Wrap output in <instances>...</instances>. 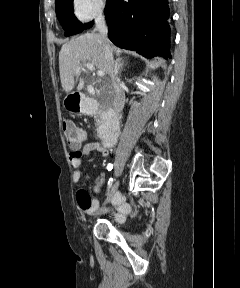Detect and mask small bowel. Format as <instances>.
Returning <instances> with one entry per match:
<instances>
[{
  "label": "small bowel",
  "instance_id": "1",
  "mask_svg": "<svg viewBox=\"0 0 240 288\" xmlns=\"http://www.w3.org/2000/svg\"><path fill=\"white\" fill-rule=\"evenodd\" d=\"M71 149L72 151L69 154V163L71 169L73 170V181L75 183H78L81 179L80 169L83 156H88L93 151L98 152L101 156H108V147H105L102 145V143L97 142L86 143L84 146H73ZM99 182L101 183L102 179H100ZM76 198L79 207L87 214H93L99 206V201L97 199L90 198L87 192L82 188L77 191ZM114 204L120 211V214H118L116 218L121 220L123 218V214L127 212L128 208L122 204L120 196H116Z\"/></svg>",
  "mask_w": 240,
  "mask_h": 288
}]
</instances>
